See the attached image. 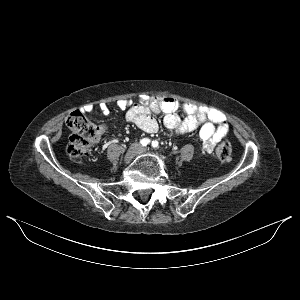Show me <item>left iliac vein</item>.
<instances>
[{
	"instance_id": "left-iliac-vein-1",
	"label": "left iliac vein",
	"mask_w": 300,
	"mask_h": 300,
	"mask_svg": "<svg viewBox=\"0 0 300 300\" xmlns=\"http://www.w3.org/2000/svg\"><path fill=\"white\" fill-rule=\"evenodd\" d=\"M146 151H147L146 148H141V149H140V152H141V153H145Z\"/></svg>"
}]
</instances>
